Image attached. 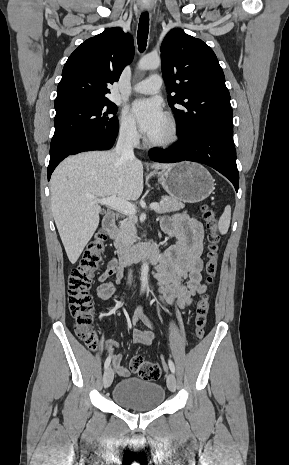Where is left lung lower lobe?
Instances as JSON below:
<instances>
[{
  "instance_id": "left-lung-lower-lobe-1",
  "label": "left lung lower lobe",
  "mask_w": 289,
  "mask_h": 465,
  "mask_svg": "<svg viewBox=\"0 0 289 465\" xmlns=\"http://www.w3.org/2000/svg\"><path fill=\"white\" fill-rule=\"evenodd\" d=\"M149 157L162 163L187 160L206 164L227 177L238 191L236 150L230 134L207 128H193L187 135L179 136V141L173 148L152 150Z\"/></svg>"
}]
</instances>
